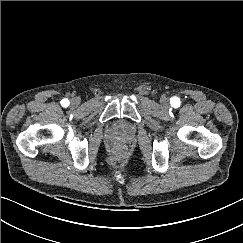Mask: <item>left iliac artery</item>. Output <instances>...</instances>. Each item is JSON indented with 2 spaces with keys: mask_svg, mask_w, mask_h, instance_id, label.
Segmentation results:
<instances>
[{
  "mask_svg": "<svg viewBox=\"0 0 243 243\" xmlns=\"http://www.w3.org/2000/svg\"><path fill=\"white\" fill-rule=\"evenodd\" d=\"M171 104L174 107H178L180 105V99L178 97H173L171 99Z\"/></svg>",
  "mask_w": 243,
  "mask_h": 243,
  "instance_id": "obj_1",
  "label": "left iliac artery"
}]
</instances>
